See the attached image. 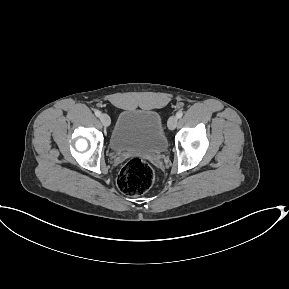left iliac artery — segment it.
<instances>
[{
  "label": "left iliac artery",
  "mask_w": 289,
  "mask_h": 289,
  "mask_svg": "<svg viewBox=\"0 0 289 289\" xmlns=\"http://www.w3.org/2000/svg\"><path fill=\"white\" fill-rule=\"evenodd\" d=\"M183 116V112L182 111H178L177 113H176V117L177 118H181Z\"/></svg>",
  "instance_id": "1"
}]
</instances>
